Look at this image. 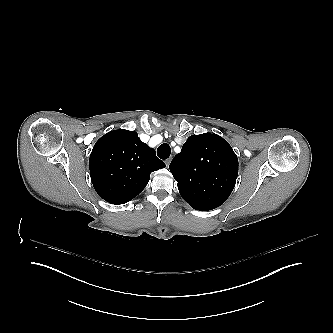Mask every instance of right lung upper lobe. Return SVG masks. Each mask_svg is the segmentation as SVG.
Here are the masks:
<instances>
[{"instance_id":"cb5924a9","label":"right lung upper lobe","mask_w":333,"mask_h":333,"mask_svg":"<svg viewBox=\"0 0 333 333\" xmlns=\"http://www.w3.org/2000/svg\"><path fill=\"white\" fill-rule=\"evenodd\" d=\"M155 150L143 143L138 134L114 130L94 145L89 158L93 186L105 201L120 205L137 196L147 185L150 173L164 168Z\"/></svg>"}]
</instances>
